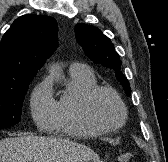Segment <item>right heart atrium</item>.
Here are the masks:
<instances>
[{
  "mask_svg": "<svg viewBox=\"0 0 168 162\" xmlns=\"http://www.w3.org/2000/svg\"><path fill=\"white\" fill-rule=\"evenodd\" d=\"M30 109L38 127L47 129L53 125L57 104L52 96L51 82L48 78L35 87L30 99Z\"/></svg>",
  "mask_w": 168,
  "mask_h": 162,
  "instance_id": "obj_1",
  "label": "right heart atrium"
}]
</instances>
